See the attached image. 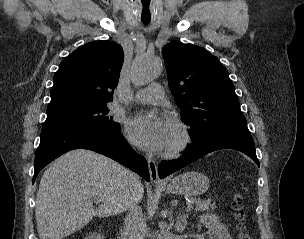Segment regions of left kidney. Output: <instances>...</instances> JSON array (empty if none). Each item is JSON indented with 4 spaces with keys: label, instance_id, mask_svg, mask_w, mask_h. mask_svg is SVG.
<instances>
[{
    "label": "left kidney",
    "instance_id": "left-kidney-1",
    "mask_svg": "<svg viewBox=\"0 0 304 239\" xmlns=\"http://www.w3.org/2000/svg\"><path fill=\"white\" fill-rule=\"evenodd\" d=\"M200 222L208 228V239H232L226 225L215 214L200 216Z\"/></svg>",
    "mask_w": 304,
    "mask_h": 239
}]
</instances>
